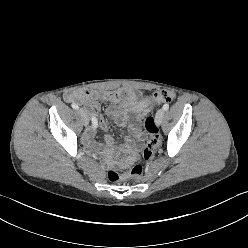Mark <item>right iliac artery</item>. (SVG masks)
Returning <instances> with one entry per match:
<instances>
[{"instance_id": "right-iliac-artery-1", "label": "right iliac artery", "mask_w": 248, "mask_h": 248, "mask_svg": "<svg viewBox=\"0 0 248 248\" xmlns=\"http://www.w3.org/2000/svg\"><path fill=\"white\" fill-rule=\"evenodd\" d=\"M72 108L75 109V110H78L79 107L76 103H73L72 104ZM92 127L96 128L97 127V119L93 116L92 117Z\"/></svg>"}]
</instances>
